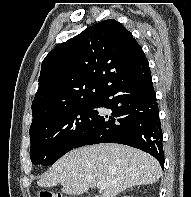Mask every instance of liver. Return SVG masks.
<instances>
[{
	"label": "liver",
	"instance_id": "1",
	"mask_svg": "<svg viewBox=\"0 0 191 197\" xmlns=\"http://www.w3.org/2000/svg\"><path fill=\"white\" fill-rule=\"evenodd\" d=\"M159 162L139 149L115 143H102L71 150L45 172L37 184L81 195L102 182V196L115 197L127 188L153 184L161 177Z\"/></svg>",
	"mask_w": 191,
	"mask_h": 197
}]
</instances>
